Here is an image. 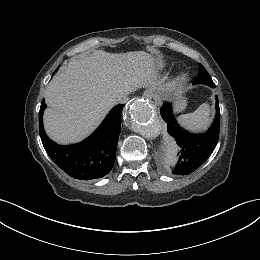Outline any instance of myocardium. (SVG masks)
Here are the masks:
<instances>
[{
  "mask_svg": "<svg viewBox=\"0 0 260 260\" xmlns=\"http://www.w3.org/2000/svg\"><path fill=\"white\" fill-rule=\"evenodd\" d=\"M188 74L186 72H179L174 80H173V85L176 87H180L182 85H184L187 81H188Z\"/></svg>",
  "mask_w": 260,
  "mask_h": 260,
  "instance_id": "1",
  "label": "myocardium"
}]
</instances>
